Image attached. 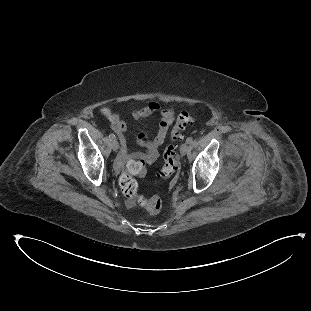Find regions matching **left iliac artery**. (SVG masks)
<instances>
[{
	"instance_id": "left-iliac-artery-1",
	"label": "left iliac artery",
	"mask_w": 311,
	"mask_h": 311,
	"mask_svg": "<svg viewBox=\"0 0 311 311\" xmlns=\"http://www.w3.org/2000/svg\"><path fill=\"white\" fill-rule=\"evenodd\" d=\"M192 141H193V138H192V137H188L187 140H186V142H187L188 144L192 143Z\"/></svg>"
}]
</instances>
